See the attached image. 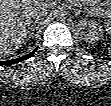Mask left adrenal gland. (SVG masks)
<instances>
[{
	"instance_id": "left-adrenal-gland-1",
	"label": "left adrenal gland",
	"mask_w": 111,
	"mask_h": 106,
	"mask_svg": "<svg viewBox=\"0 0 111 106\" xmlns=\"http://www.w3.org/2000/svg\"><path fill=\"white\" fill-rule=\"evenodd\" d=\"M70 9L74 11V15L78 16L81 12L86 13L84 10H82L81 8H76L74 6H70Z\"/></svg>"
}]
</instances>
